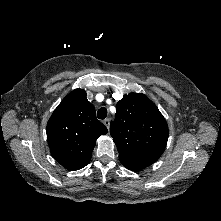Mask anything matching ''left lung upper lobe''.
Instances as JSON below:
<instances>
[{"label":"left lung upper lobe","instance_id":"5c2ea615","mask_svg":"<svg viewBox=\"0 0 221 221\" xmlns=\"http://www.w3.org/2000/svg\"><path fill=\"white\" fill-rule=\"evenodd\" d=\"M110 134L121 163L140 170L162 155L168 140V125L147 96L131 93L117 103Z\"/></svg>","mask_w":221,"mask_h":221}]
</instances>
